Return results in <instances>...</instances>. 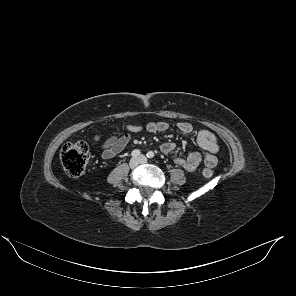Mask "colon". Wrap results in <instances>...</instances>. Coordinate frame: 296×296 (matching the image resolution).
I'll list each match as a JSON object with an SVG mask.
<instances>
[{
	"label": "colon",
	"instance_id": "colon-1",
	"mask_svg": "<svg viewBox=\"0 0 296 296\" xmlns=\"http://www.w3.org/2000/svg\"><path fill=\"white\" fill-rule=\"evenodd\" d=\"M90 157V150L84 141H72L66 143L60 152V160L64 170L69 176L81 175L87 166ZM214 173L213 167L206 166L203 175L210 177Z\"/></svg>",
	"mask_w": 296,
	"mask_h": 296
}]
</instances>
